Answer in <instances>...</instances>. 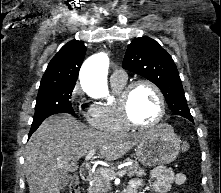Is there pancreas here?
<instances>
[{"label": "pancreas", "instance_id": "pancreas-1", "mask_svg": "<svg viewBox=\"0 0 221 193\" xmlns=\"http://www.w3.org/2000/svg\"><path fill=\"white\" fill-rule=\"evenodd\" d=\"M125 161H131L130 158ZM127 170V176H143L146 175L145 171L140 168L138 162H134L132 165L125 168ZM107 170L115 173L114 168H107ZM111 189L110 179L106 178L99 170H97L92 176V184L88 188V193H108Z\"/></svg>", "mask_w": 221, "mask_h": 193}]
</instances>
